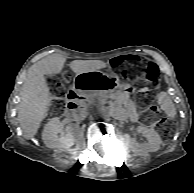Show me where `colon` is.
I'll use <instances>...</instances> for the list:
<instances>
[{
	"label": "colon",
	"instance_id": "5ec220e1",
	"mask_svg": "<svg viewBox=\"0 0 194 193\" xmlns=\"http://www.w3.org/2000/svg\"><path fill=\"white\" fill-rule=\"evenodd\" d=\"M122 79H135L140 69V63L133 57L115 58L111 62ZM64 80L69 79L68 74L63 75ZM140 79L144 83L139 103L145 111V121L156 126L166 139L171 136L172 126L169 120L161 114L160 110L152 103L151 95L159 83V70L154 63H146L140 73ZM50 92L55 108H61L66 95L65 89L56 78L49 80Z\"/></svg>",
	"mask_w": 194,
	"mask_h": 193
}]
</instances>
